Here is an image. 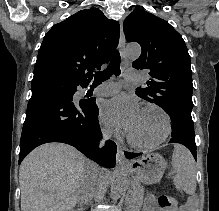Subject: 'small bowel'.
Wrapping results in <instances>:
<instances>
[{"mask_svg":"<svg viewBox=\"0 0 219 211\" xmlns=\"http://www.w3.org/2000/svg\"><path fill=\"white\" fill-rule=\"evenodd\" d=\"M144 211H161L155 201L153 195H148L145 202ZM181 211H194L193 201L190 200L186 205L181 208Z\"/></svg>","mask_w":219,"mask_h":211,"instance_id":"small-bowel-1","label":"small bowel"}]
</instances>
